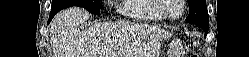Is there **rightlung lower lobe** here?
Listing matches in <instances>:
<instances>
[{"label": "right lung lower lobe", "instance_id": "obj_1", "mask_svg": "<svg viewBox=\"0 0 249 57\" xmlns=\"http://www.w3.org/2000/svg\"><path fill=\"white\" fill-rule=\"evenodd\" d=\"M60 11V10H53L51 9V12H50V16H49V20L48 22H50L52 20V18L56 15V13Z\"/></svg>", "mask_w": 249, "mask_h": 57}]
</instances>
